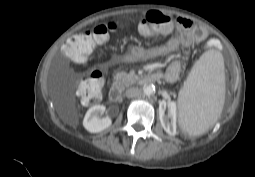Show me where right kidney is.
<instances>
[{
    "label": "right kidney",
    "mask_w": 255,
    "mask_h": 177,
    "mask_svg": "<svg viewBox=\"0 0 255 177\" xmlns=\"http://www.w3.org/2000/svg\"><path fill=\"white\" fill-rule=\"evenodd\" d=\"M104 105H95L91 107L85 114L83 120L84 128L91 133H98L108 128L112 124L110 117H101L105 112Z\"/></svg>",
    "instance_id": "1"
}]
</instances>
